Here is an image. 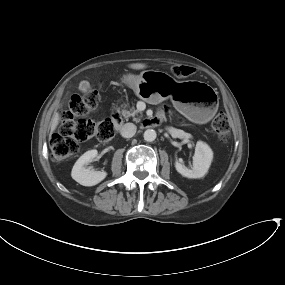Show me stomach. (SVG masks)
Here are the masks:
<instances>
[{
    "instance_id": "1",
    "label": "stomach",
    "mask_w": 285,
    "mask_h": 285,
    "mask_svg": "<svg viewBox=\"0 0 285 285\" xmlns=\"http://www.w3.org/2000/svg\"><path fill=\"white\" fill-rule=\"evenodd\" d=\"M123 82L148 103H152L156 95L165 99L164 95L177 111L195 123H207L218 109L217 93L201 81H176L165 72L145 70L139 75H124Z\"/></svg>"
}]
</instances>
